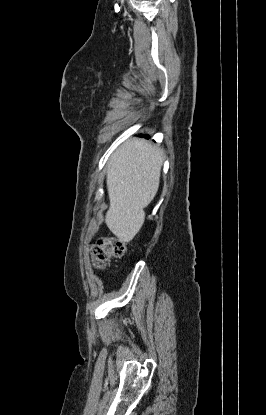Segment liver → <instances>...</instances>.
Here are the masks:
<instances>
[{
	"label": "liver",
	"instance_id": "6515ba94",
	"mask_svg": "<svg viewBox=\"0 0 266 415\" xmlns=\"http://www.w3.org/2000/svg\"><path fill=\"white\" fill-rule=\"evenodd\" d=\"M163 151L144 139L132 138L110 157L107 189L110 207L105 223L122 242H130L144 224L147 207L160 181Z\"/></svg>",
	"mask_w": 266,
	"mask_h": 415
}]
</instances>
